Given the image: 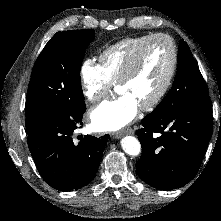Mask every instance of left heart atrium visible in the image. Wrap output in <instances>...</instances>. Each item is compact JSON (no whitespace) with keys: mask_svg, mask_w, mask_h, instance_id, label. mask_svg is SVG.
Segmentation results:
<instances>
[{"mask_svg":"<svg viewBox=\"0 0 221 221\" xmlns=\"http://www.w3.org/2000/svg\"><path fill=\"white\" fill-rule=\"evenodd\" d=\"M139 105L128 95L120 94L93 108L91 123L98 131H117L130 124L137 116Z\"/></svg>","mask_w":221,"mask_h":221,"instance_id":"39dd6f15","label":"left heart atrium"}]
</instances>
